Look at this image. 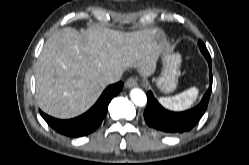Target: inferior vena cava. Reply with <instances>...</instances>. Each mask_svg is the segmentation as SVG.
I'll return each mask as SVG.
<instances>
[{
  "instance_id": "1",
  "label": "inferior vena cava",
  "mask_w": 249,
  "mask_h": 165,
  "mask_svg": "<svg viewBox=\"0 0 249 165\" xmlns=\"http://www.w3.org/2000/svg\"><path fill=\"white\" fill-rule=\"evenodd\" d=\"M121 76V72L107 74L103 77V83L105 85L116 83L120 80Z\"/></svg>"
}]
</instances>
